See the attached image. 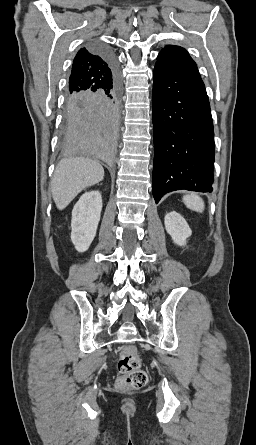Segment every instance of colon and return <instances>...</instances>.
<instances>
[{
	"label": "colon",
	"instance_id": "1",
	"mask_svg": "<svg viewBox=\"0 0 256 445\" xmlns=\"http://www.w3.org/2000/svg\"><path fill=\"white\" fill-rule=\"evenodd\" d=\"M117 368L119 372L117 386L119 389H140L148 382V375L141 368L140 357L133 346H126L122 349Z\"/></svg>",
	"mask_w": 256,
	"mask_h": 445
}]
</instances>
